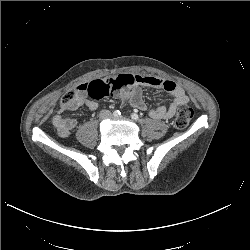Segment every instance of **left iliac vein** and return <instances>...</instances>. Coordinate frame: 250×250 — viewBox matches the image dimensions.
<instances>
[{"mask_svg":"<svg viewBox=\"0 0 250 250\" xmlns=\"http://www.w3.org/2000/svg\"><path fill=\"white\" fill-rule=\"evenodd\" d=\"M115 119H123L124 117L120 116V117H114Z\"/></svg>","mask_w":250,"mask_h":250,"instance_id":"1","label":"left iliac vein"}]
</instances>
